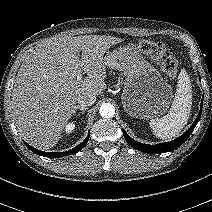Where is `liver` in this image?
I'll use <instances>...</instances> for the list:
<instances>
[{
    "mask_svg": "<svg viewBox=\"0 0 212 212\" xmlns=\"http://www.w3.org/2000/svg\"><path fill=\"white\" fill-rule=\"evenodd\" d=\"M120 42L121 38L105 35L52 37L25 58L16 76L11 111L18 132L30 145L54 147L78 95H100L105 90L104 54ZM83 71L87 76L78 80Z\"/></svg>",
    "mask_w": 212,
    "mask_h": 212,
    "instance_id": "1",
    "label": "liver"
}]
</instances>
